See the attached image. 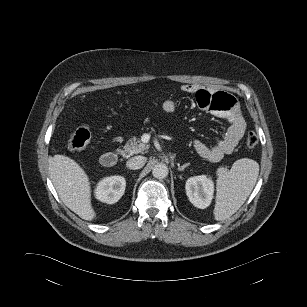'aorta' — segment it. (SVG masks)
I'll list each match as a JSON object with an SVG mask.
<instances>
[{
  "label": "aorta",
  "mask_w": 307,
  "mask_h": 307,
  "mask_svg": "<svg viewBox=\"0 0 307 307\" xmlns=\"http://www.w3.org/2000/svg\"><path fill=\"white\" fill-rule=\"evenodd\" d=\"M152 174L157 179H163L168 175V168L165 164H156L152 169Z\"/></svg>",
  "instance_id": "aorta-1"
}]
</instances>
